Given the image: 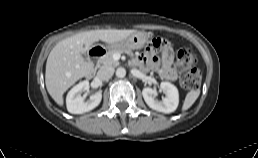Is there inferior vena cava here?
<instances>
[{
  "instance_id": "inferior-vena-cava-1",
  "label": "inferior vena cava",
  "mask_w": 258,
  "mask_h": 158,
  "mask_svg": "<svg viewBox=\"0 0 258 158\" xmlns=\"http://www.w3.org/2000/svg\"><path fill=\"white\" fill-rule=\"evenodd\" d=\"M114 74V68L111 66H102L97 72V77L102 80L110 79Z\"/></svg>"
}]
</instances>
